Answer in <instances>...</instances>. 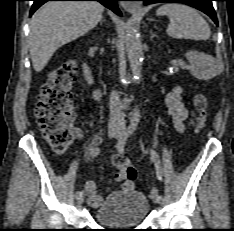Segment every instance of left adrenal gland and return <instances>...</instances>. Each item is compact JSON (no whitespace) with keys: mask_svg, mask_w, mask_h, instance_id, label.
Here are the masks:
<instances>
[{"mask_svg":"<svg viewBox=\"0 0 234 231\" xmlns=\"http://www.w3.org/2000/svg\"><path fill=\"white\" fill-rule=\"evenodd\" d=\"M150 34H151L150 35V40H152L154 37H157V35L154 34L152 30H150Z\"/></svg>","mask_w":234,"mask_h":231,"instance_id":"obj_1","label":"left adrenal gland"}]
</instances>
